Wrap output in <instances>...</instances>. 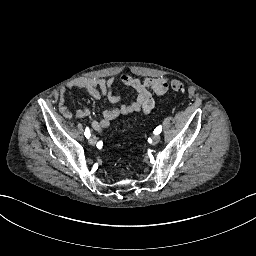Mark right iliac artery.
<instances>
[{"mask_svg":"<svg viewBox=\"0 0 256 256\" xmlns=\"http://www.w3.org/2000/svg\"><path fill=\"white\" fill-rule=\"evenodd\" d=\"M84 135H85L86 138H89V137H90L91 134H90V130H89L88 127L85 129Z\"/></svg>","mask_w":256,"mask_h":256,"instance_id":"obj_1","label":"right iliac artery"}]
</instances>
